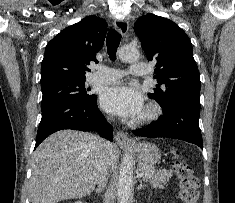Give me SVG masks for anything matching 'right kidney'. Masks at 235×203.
<instances>
[{
  "label": "right kidney",
  "instance_id": "ca27d5eb",
  "mask_svg": "<svg viewBox=\"0 0 235 203\" xmlns=\"http://www.w3.org/2000/svg\"><path fill=\"white\" fill-rule=\"evenodd\" d=\"M75 203H82V202L78 201V202H75Z\"/></svg>",
  "mask_w": 235,
  "mask_h": 203
}]
</instances>
